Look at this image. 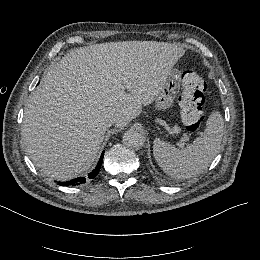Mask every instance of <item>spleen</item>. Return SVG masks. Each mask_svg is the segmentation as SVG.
<instances>
[{"mask_svg": "<svg viewBox=\"0 0 260 260\" xmlns=\"http://www.w3.org/2000/svg\"><path fill=\"white\" fill-rule=\"evenodd\" d=\"M224 133V120L219 112H213L201 136L181 149L156 138L153 154L158 165L169 176L185 179L197 176L207 169L220 148Z\"/></svg>", "mask_w": 260, "mask_h": 260, "instance_id": "obj_1", "label": "spleen"}]
</instances>
